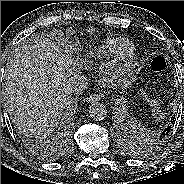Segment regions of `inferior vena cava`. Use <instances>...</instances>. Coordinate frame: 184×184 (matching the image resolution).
I'll return each mask as SVG.
<instances>
[{"instance_id": "1", "label": "inferior vena cava", "mask_w": 184, "mask_h": 184, "mask_svg": "<svg viewBox=\"0 0 184 184\" xmlns=\"http://www.w3.org/2000/svg\"><path fill=\"white\" fill-rule=\"evenodd\" d=\"M88 79L84 75L76 74L69 79L68 88L74 93H80L87 89Z\"/></svg>"}]
</instances>
